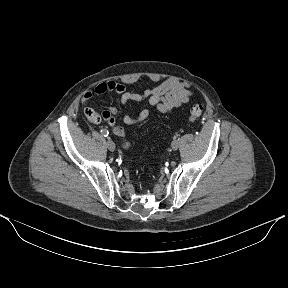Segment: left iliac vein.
<instances>
[{
  "label": "left iliac vein",
  "instance_id": "left-iliac-vein-1",
  "mask_svg": "<svg viewBox=\"0 0 288 288\" xmlns=\"http://www.w3.org/2000/svg\"><path fill=\"white\" fill-rule=\"evenodd\" d=\"M171 147L173 150H177L179 147V142L178 141H172Z\"/></svg>",
  "mask_w": 288,
  "mask_h": 288
}]
</instances>
